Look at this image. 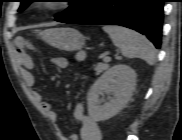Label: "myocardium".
Returning a JSON list of instances; mask_svg holds the SVG:
<instances>
[{"label":"myocardium","instance_id":"1","mask_svg":"<svg viewBox=\"0 0 182 140\" xmlns=\"http://www.w3.org/2000/svg\"><path fill=\"white\" fill-rule=\"evenodd\" d=\"M64 7L63 4L60 3H44L43 5L40 6V8L44 11H55V10H59L60 8Z\"/></svg>","mask_w":182,"mask_h":140}]
</instances>
